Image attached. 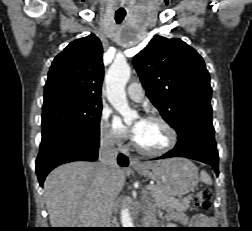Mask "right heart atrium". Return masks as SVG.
<instances>
[{"label": "right heart atrium", "instance_id": "d8ad5b80", "mask_svg": "<svg viewBox=\"0 0 252 231\" xmlns=\"http://www.w3.org/2000/svg\"><path fill=\"white\" fill-rule=\"evenodd\" d=\"M99 133L105 143L119 148L125 147L126 135L111 121L110 114L107 112L101 114Z\"/></svg>", "mask_w": 252, "mask_h": 231}]
</instances>
